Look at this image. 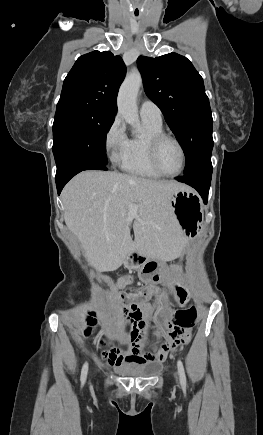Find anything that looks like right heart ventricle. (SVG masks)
<instances>
[{
	"instance_id": "right-heart-ventricle-1",
	"label": "right heart ventricle",
	"mask_w": 263,
	"mask_h": 435,
	"mask_svg": "<svg viewBox=\"0 0 263 435\" xmlns=\"http://www.w3.org/2000/svg\"><path fill=\"white\" fill-rule=\"evenodd\" d=\"M144 133L132 136L127 140L125 151L120 162L121 168L129 174L157 179L161 175L152 167L148 143L152 136L163 133L162 122L142 118Z\"/></svg>"
}]
</instances>
